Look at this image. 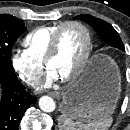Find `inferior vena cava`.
<instances>
[{
	"label": "inferior vena cava",
	"instance_id": "obj_1",
	"mask_svg": "<svg viewBox=\"0 0 130 130\" xmlns=\"http://www.w3.org/2000/svg\"><path fill=\"white\" fill-rule=\"evenodd\" d=\"M29 83L32 85H39L40 84V78L39 77H36V78H31L29 80Z\"/></svg>",
	"mask_w": 130,
	"mask_h": 130
}]
</instances>
